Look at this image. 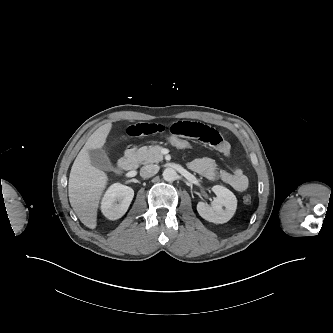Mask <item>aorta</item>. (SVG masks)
I'll use <instances>...</instances> for the list:
<instances>
[{"label": "aorta", "mask_w": 333, "mask_h": 333, "mask_svg": "<svg viewBox=\"0 0 333 333\" xmlns=\"http://www.w3.org/2000/svg\"><path fill=\"white\" fill-rule=\"evenodd\" d=\"M162 175H163L164 180L167 181V182H172L177 177V173L173 168H166L163 171Z\"/></svg>", "instance_id": "obj_1"}]
</instances>
